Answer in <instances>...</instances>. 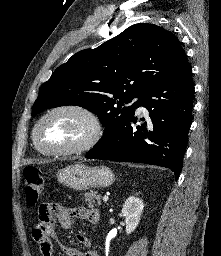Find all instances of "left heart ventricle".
Here are the masks:
<instances>
[{"label":"left heart ventricle","mask_w":221,"mask_h":256,"mask_svg":"<svg viewBox=\"0 0 221 256\" xmlns=\"http://www.w3.org/2000/svg\"><path fill=\"white\" fill-rule=\"evenodd\" d=\"M88 120L73 111L57 112L47 118L39 129L41 144L51 149L76 146L90 133Z\"/></svg>","instance_id":"1"}]
</instances>
